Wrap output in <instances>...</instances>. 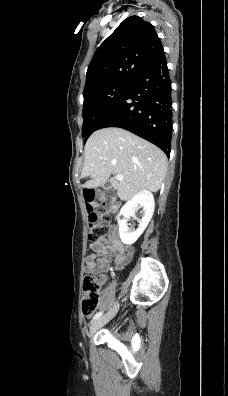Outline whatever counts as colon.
Listing matches in <instances>:
<instances>
[{
    "label": "colon",
    "instance_id": "5ec220e1",
    "mask_svg": "<svg viewBox=\"0 0 228 396\" xmlns=\"http://www.w3.org/2000/svg\"><path fill=\"white\" fill-rule=\"evenodd\" d=\"M86 210L89 217L88 239L93 244L101 243L107 235V225L105 214L99 212L97 208L109 207V200L106 194L87 190L85 192ZM100 290L99 281L94 275H86L83 280L82 313L92 315L99 304Z\"/></svg>",
    "mask_w": 228,
    "mask_h": 396
}]
</instances>
